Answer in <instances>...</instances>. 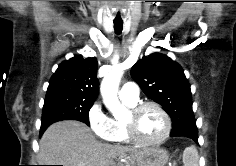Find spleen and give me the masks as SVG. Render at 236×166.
<instances>
[{
    "label": "spleen",
    "instance_id": "spleen-1",
    "mask_svg": "<svg viewBox=\"0 0 236 166\" xmlns=\"http://www.w3.org/2000/svg\"><path fill=\"white\" fill-rule=\"evenodd\" d=\"M184 166H199L198 151L194 146L187 147L183 152Z\"/></svg>",
    "mask_w": 236,
    "mask_h": 166
}]
</instances>
